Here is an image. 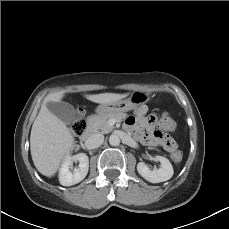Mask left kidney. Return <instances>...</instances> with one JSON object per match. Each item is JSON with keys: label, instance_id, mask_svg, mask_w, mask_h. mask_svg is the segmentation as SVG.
Returning <instances> with one entry per match:
<instances>
[{"label": "left kidney", "instance_id": "left-kidney-1", "mask_svg": "<svg viewBox=\"0 0 229 229\" xmlns=\"http://www.w3.org/2000/svg\"><path fill=\"white\" fill-rule=\"evenodd\" d=\"M155 159L161 163L159 169L150 170V168L144 162H139L137 164L138 173L145 180L151 183H159L169 180L174 173L172 164L163 156H156Z\"/></svg>", "mask_w": 229, "mask_h": 229}]
</instances>
